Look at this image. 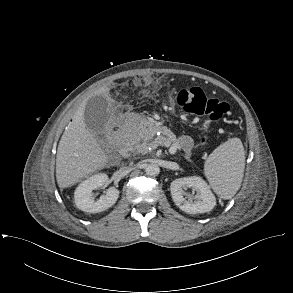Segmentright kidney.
I'll use <instances>...</instances> for the list:
<instances>
[{
  "label": "right kidney",
  "instance_id": "ca27d5eb",
  "mask_svg": "<svg viewBox=\"0 0 293 293\" xmlns=\"http://www.w3.org/2000/svg\"><path fill=\"white\" fill-rule=\"evenodd\" d=\"M107 182L108 176L99 173L80 183L74 193L77 208L87 213H98L112 207L119 197V191L115 187L108 188L106 194L101 195L97 200L91 197L94 189L106 185Z\"/></svg>",
  "mask_w": 293,
  "mask_h": 293
}]
</instances>
